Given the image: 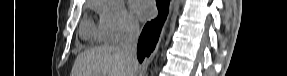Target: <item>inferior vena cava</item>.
Wrapping results in <instances>:
<instances>
[{
  "mask_svg": "<svg viewBox=\"0 0 287 76\" xmlns=\"http://www.w3.org/2000/svg\"><path fill=\"white\" fill-rule=\"evenodd\" d=\"M139 35H140L139 24L135 21H130L125 30L123 38L118 46L119 51L123 55H125V57L129 60V62L133 66L134 73L138 65L136 57V49Z\"/></svg>",
  "mask_w": 287,
  "mask_h": 76,
  "instance_id": "602c4592",
  "label": "inferior vena cava"
}]
</instances>
